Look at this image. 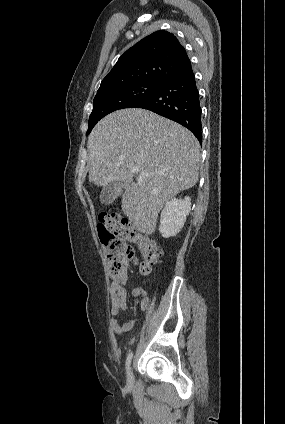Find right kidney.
Masks as SVG:
<instances>
[{
	"label": "right kidney",
	"instance_id": "obj_1",
	"mask_svg": "<svg viewBox=\"0 0 285 424\" xmlns=\"http://www.w3.org/2000/svg\"><path fill=\"white\" fill-rule=\"evenodd\" d=\"M191 210V199H171L161 212L159 231L163 238L175 237L184 227Z\"/></svg>",
	"mask_w": 285,
	"mask_h": 424
}]
</instances>
